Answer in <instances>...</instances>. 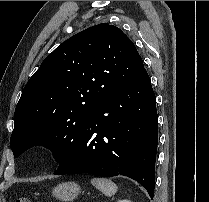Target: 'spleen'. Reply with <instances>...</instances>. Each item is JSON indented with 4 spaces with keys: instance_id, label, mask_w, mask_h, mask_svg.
<instances>
[{
    "instance_id": "spleen-1",
    "label": "spleen",
    "mask_w": 209,
    "mask_h": 202,
    "mask_svg": "<svg viewBox=\"0 0 209 202\" xmlns=\"http://www.w3.org/2000/svg\"><path fill=\"white\" fill-rule=\"evenodd\" d=\"M91 184L108 197L114 195L118 189L115 183L104 178H93L91 179Z\"/></svg>"
}]
</instances>
